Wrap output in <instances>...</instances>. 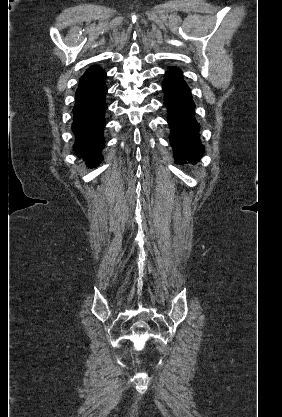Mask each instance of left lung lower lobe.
<instances>
[{"label":"left lung lower lobe","mask_w":282,"mask_h":417,"mask_svg":"<svg viewBox=\"0 0 282 417\" xmlns=\"http://www.w3.org/2000/svg\"><path fill=\"white\" fill-rule=\"evenodd\" d=\"M164 105L168 110L171 129L170 142L175 153V162L196 163L204 152L199 139V124L195 119V104L191 92L177 67H170L162 84Z\"/></svg>","instance_id":"0a47b994"}]
</instances>
